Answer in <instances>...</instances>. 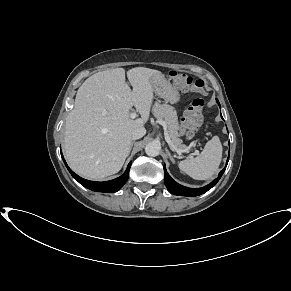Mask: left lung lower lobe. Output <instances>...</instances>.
Wrapping results in <instances>:
<instances>
[{
	"label": "left lung lower lobe",
	"mask_w": 291,
	"mask_h": 291,
	"mask_svg": "<svg viewBox=\"0 0 291 291\" xmlns=\"http://www.w3.org/2000/svg\"><path fill=\"white\" fill-rule=\"evenodd\" d=\"M217 103L220 106L218 100H217ZM228 160H229V157H228ZM228 160H227L226 166L228 164ZM225 169H226V167L219 173L218 178H216L213 182H211L207 186L199 188V189H197V188L192 189V188L184 187V186L178 184L177 182H175L170 177V175L167 173L166 167L164 165V176H165L164 182H165L167 189L174 195L188 196V197L198 196V195H201V194L207 192L208 190H210L219 181V179L223 175Z\"/></svg>",
	"instance_id": "left-lung-lower-lobe-1"
}]
</instances>
